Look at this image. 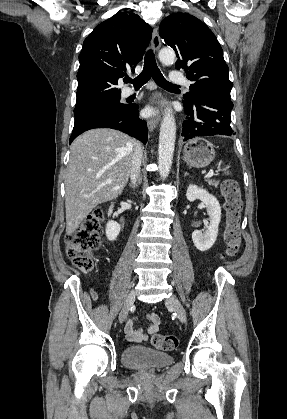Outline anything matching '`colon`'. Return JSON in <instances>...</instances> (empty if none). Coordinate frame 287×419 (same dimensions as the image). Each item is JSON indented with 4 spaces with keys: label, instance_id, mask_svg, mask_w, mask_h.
Segmentation results:
<instances>
[{
    "label": "colon",
    "instance_id": "colon-1",
    "mask_svg": "<svg viewBox=\"0 0 287 419\" xmlns=\"http://www.w3.org/2000/svg\"><path fill=\"white\" fill-rule=\"evenodd\" d=\"M221 195L224 199L226 223L224 241L226 244L225 256L234 257L241 249V213L243 201L238 183L230 178L224 179L220 185ZM104 211L94 209L82 224L66 237V255L72 264L84 272H90L95 266L93 253L100 246V234ZM152 345L159 350H173L178 346L179 339L175 335L155 334Z\"/></svg>",
    "mask_w": 287,
    "mask_h": 419
}]
</instances>
